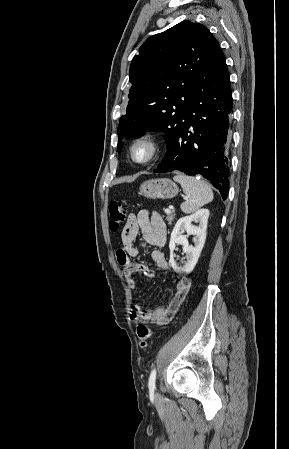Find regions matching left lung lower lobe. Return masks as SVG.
Instances as JSON below:
<instances>
[{
  "label": "left lung lower lobe",
  "mask_w": 289,
  "mask_h": 449,
  "mask_svg": "<svg viewBox=\"0 0 289 449\" xmlns=\"http://www.w3.org/2000/svg\"><path fill=\"white\" fill-rule=\"evenodd\" d=\"M232 93L225 56L218 50L193 87L190 103L156 173L180 170L210 180L223 199L229 191L227 149Z\"/></svg>",
  "instance_id": "1"
}]
</instances>
